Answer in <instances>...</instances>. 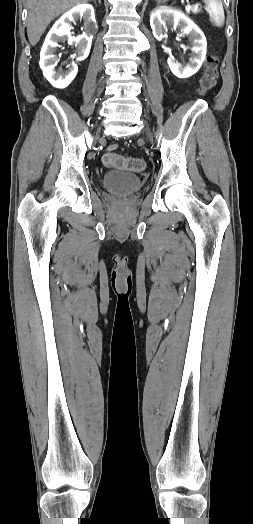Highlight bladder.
I'll use <instances>...</instances> for the list:
<instances>
[{
	"label": "bladder",
	"instance_id": "obj_1",
	"mask_svg": "<svg viewBox=\"0 0 253 524\" xmlns=\"http://www.w3.org/2000/svg\"><path fill=\"white\" fill-rule=\"evenodd\" d=\"M104 190L115 195L126 196L140 190L143 182L140 177L124 171H107L102 175Z\"/></svg>",
	"mask_w": 253,
	"mask_h": 524
}]
</instances>
